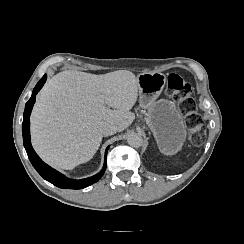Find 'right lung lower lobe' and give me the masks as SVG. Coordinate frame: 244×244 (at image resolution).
Returning a JSON list of instances; mask_svg holds the SVG:
<instances>
[{"label": "right lung lower lobe", "instance_id": "1", "mask_svg": "<svg viewBox=\"0 0 244 244\" xmlns=\"http://www.w3.org/2000/svg\"><path fill=\"white\" fill-rule=\"evenodd\" d=\"M46 78H47V76L44 75L40 79V81L36 84L35 88L33 89L31 98L28 100V102L25 105V110H24V114H23L24 120L22 123L24 147L26 149V152H27V155H28L30 162L32 163L34 168L37 170V172L45 180L49 181L50 183H52L53 185H55L57 187L64 188V189L65 188H67V189L85 188V187L97 182L102 177V175L104 174L105 169H106V156H107V151H108L109 147H107V149L105 151V162H104L103 169L98 174H96L92 177L86 178V179H81V180H72V179L66 178L61 173L54 170L53 168H51L47 164H45L39 158V156L35 153L34 149L32 148L31 141H30L31 138H30V120H29V117H30L33 105L35 103V96L39 92V90L42 88V86L44 85Z\"/></svg>", "mask_w": 244, "mask_h": 244}]
</instances>
